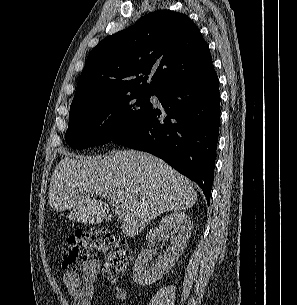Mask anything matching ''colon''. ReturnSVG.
<instances>
[{
  "instance_id": "colon-1",
  "label": "colon",
  "mask_w": 297,
  "mask_h": 305,
  "mask_svg": "<svg viewBox=\"0 0 297 305\" xmlns=\"http://www.w3.org/2000/svg\"><path fill=\"white\" fill-rule=\"evenodd\" d=\"M94 252L104 255L109 269L116 275L124 274L130 264L126 243L104 230L87 229L68 237L62 247V268L73 271L81 268Z\"/></svg>"
}]
</instances>
